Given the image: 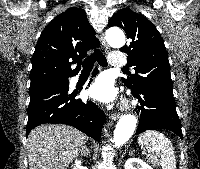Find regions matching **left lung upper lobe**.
Listing matches in <instances>:
<instances>
[{
    "instance_id": "left-lung-upper-lobe-1",
    "label": "left lung upper lobe",
    "mask_w": 200,
    "mask_h": 169,
    "mask_svg": "<svg viewBox=\"0 0 200 169\" xmlns=\"http://www.w3.org/2000/svg\"><path fill=\"white\" fill-rule=\"evenodd\" d=\"M108 26L121 27L131 39L129 46L120 49L128 54V65L134 66L136 71L122 78L125 86L132 92L150 85L173 89L165 45L153 23L129 8H123L110 19Z\"/></svg>"
}]
</instances>
